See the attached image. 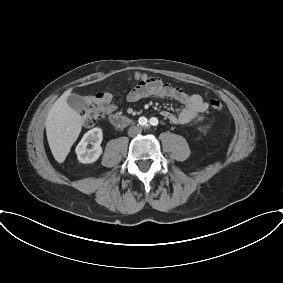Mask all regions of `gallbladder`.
<instances>
[{"label": "gallbladder", "instance_id": "obj_1", "mask_svg": "<svg viewBox=\"0 0 283 283\" xmlns=\"http://www.w3.org/2000/svg\"><path fill=\"white\" fill-rule=\"evenodd\" d=\"M67 104L75 111H81L85 105V101L82 96L72 93L67 98Z\"/></svg>", "mask_w": 283, "mask_h": 283}]
</instances>
